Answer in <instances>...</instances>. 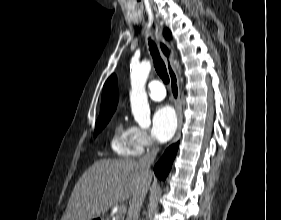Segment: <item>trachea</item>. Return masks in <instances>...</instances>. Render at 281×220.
Returning <instances> with one entry per match:
<instances>
[{"label":"trachea","mask_w":281,"mask_h":220,"mask_svg":"<svg viewBox=\"0 0 281 220\" xmlns=\"http://www.w3.org/2000/svg\"><path fill=\"white\" fill-rule=\"evenodd\" d=\"M149 50L151 52L153 62H154V67H155L157 74L161 77L163 82L167 84L169 82V76L167 73L165 63L161 59L159 51H158L155 43L152 40H149Z\"/></svg>","instance_id":"3493384b"}]
</instances>
